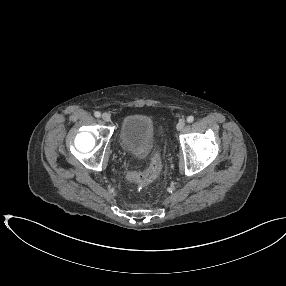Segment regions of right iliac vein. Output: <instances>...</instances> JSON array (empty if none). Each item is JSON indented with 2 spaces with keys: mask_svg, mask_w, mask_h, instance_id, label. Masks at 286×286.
Here are the masks:
<instances>
[{
  "mask_svg": "<svg viewBox=\"0 0 286 286\" xmlns=\"http://www.w3.org/2000/svg\"><path fill=\"white\" fill-rule=\"evenodd\" d=\"M102 119H103L105 122H109V121L111 120L110 114H108V113H103V114H102Z\"/></svg>",
  "mask_w": 286,
  "mask_h": 286,
  "instance_id": "right-iliac-vein-1",
  "label": "right iliac vein"
}]
</instances>
